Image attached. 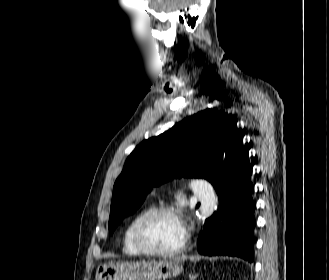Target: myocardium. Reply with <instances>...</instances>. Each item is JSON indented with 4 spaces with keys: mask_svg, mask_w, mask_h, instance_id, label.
I'll list each match as a JSON object with an SVG mask.
<instances>
[{
    "mask_svg": "<svg viewBox=\"0 0 329 280\" xmlns=\"http://www.w3.org/2000/svg\"><path fill=\"white\" fill-rule=\"evenodd\" d=\"M162 214H169L172 216H175L181 221V218L179 216L178 211L171 206H157L154 207L150 210H148L137 222L135 229H134V241L137 245V247L147 255L151 256H157V257H168V256H173L181 253L184 251V249L187 246L189 235L188 232L186 231L183 223V230H184V235L183 239L180 242L178 246L172 249H167V250H160L155 247H153L147 240H146V229L149 223L151 222L152 219L155 217L162 215Z\"/></svg>",
    "mask_w": 329,
    "mask_h": 280,
    "instance_id": "myocardium-1",
    "label": "myocardium"
}]
</instances>
